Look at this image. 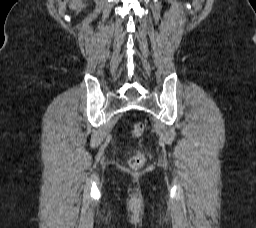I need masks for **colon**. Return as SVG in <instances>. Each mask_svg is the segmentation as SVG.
Segmentation results:
<instances>
[{"mask_svg": "<svg viewBox=\"0 0 256 228\" xmlns=\"http://www.w3.org/2000/svg\"><path fill=\"white\" fill-rule=\"evenodd\" d=\"M144 125L142 123H136L134 124L132 130H131V136L132 137H140L144 133ZM145 162V154L141 150L137 151L130 159H129V166L132 169H139L143 166Z\"/></svg>", "mask_w": 256, "mask_h": 228, "instance_id": "5ec220e1", "label": "colon"}]
</instances>
